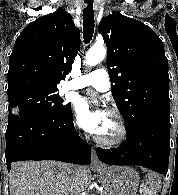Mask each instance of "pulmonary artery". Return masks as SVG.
Listing matches in <instances>:
<instances>
[{
	"instance_id": "obj_1",
	"label": "pulmonary artery",
	"mask_w": 178,
	"mask_h": 195,
	"mask_svg": "<svg viewBox=\"0 0 178 195\" xmlns=\"http://www.w3.org/2000/svg\"><path fill=\"white\" fill-rule=\"evenodd\" d=\"M93 87L100 92H106L110 89V79L104 69L94 70L76 80L68 82L63 91Z\"/></svg>"
}]
</instances>
